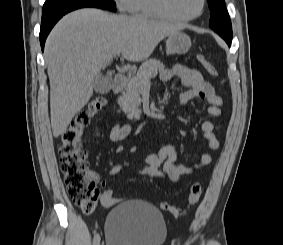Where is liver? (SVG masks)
I'll return each instance as SVG.
<instances>
[{
	"label": "liver",
	"instance_id": "6515ba94",
	"mask_svg": "<svg viewBox=\"0 0 283 245\" xmlns=\"http://www.w3.org/2000/svg\"><path fill=\"white\" fill-rule=\"evenodd\" d=\"M181 28L178 24L89 8L64 16L45 45L53 136L66 132L93 95L95 77L117 52L128 61H143L160 41Z\"/></svg>",
	"mask_w": 283,
	"mask_h": 245
}]
</instances>
